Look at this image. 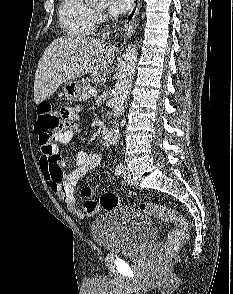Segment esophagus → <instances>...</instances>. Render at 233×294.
<instances>
[{
	"mask_svg": "<svg viewBox=\"0 0 233 294\" xmlns=\"http://www.w3.org/2000/svg\"><path fill=\"white\" fill-rule=\"evenodd\" d=\"M141 8V0H134L133 6L129 15L127 16L124 27H123V37L124 39L130 37L133 34L135 24H136V17L139 14Z\"/></svg>",
	"mask_w": 233,
	"mask_h": 294,
	"instance_id": "1",
	"label": "esophagus"
}]
</instances>
